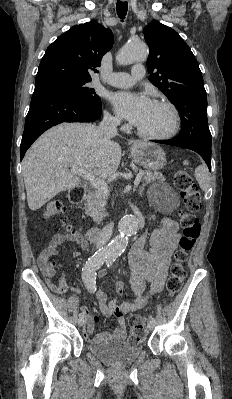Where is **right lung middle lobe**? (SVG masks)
I'll list each match as a JSON object with an SVG mask.
<instances>
[{
	"label": "right lung middle lobe",
	"instance_id": "obj_1",
	"mask_svg": "<svg viewBox=\"0 0 232 399\" xmlns=\"http://www.w3.org/2000/svg\"><path fill=\"white\" fill-rule=\"evenodd\" d=\"M90 81L91 80H81L74 78H52L43 81L42 83L59 86L73 94L83 103H87L93 107H101L100 97L95 93V90L93 88H89L86 86V84Z\"/></svg>",
	"mask_w": 232,
	"mask_h": 399
}]
</instances>
